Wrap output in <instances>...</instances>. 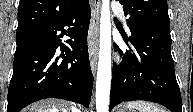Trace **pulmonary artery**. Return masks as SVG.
Returning <instances> with one entry per match:
<instances>
[{"label": "pulmonary artery", "mask_w": 193, "mask_h": 112, "mask_svg": "<svg viewBox=\"0 0 193 112\" xmlns=\"http://www.w3.org/2000/svg\"><path fill=\"white\" fill-rule=\"evenodd\" d=\"M112 10L115 14H117L118 16H120L124 21H125V15H124V12H123V9L120 5L118 4H113L112 5Z\"/></svg>", "instance_id": "pulmonary-artery-1"}]
</instances>
